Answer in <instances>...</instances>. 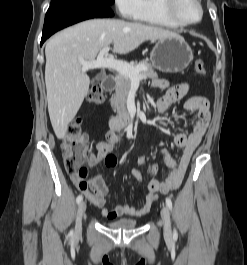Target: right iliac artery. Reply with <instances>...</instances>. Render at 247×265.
Here are the masks:
<instances>
[{
  "mask_svg": "<svg viewBox=\"0 0 247 265\" xmlns=\"http://www.w3.org/2000/svg\"><path fill=\"white\" fill-rule=\"evenodd\" d=\"M83 200V196L79 195L76 199V202L79 204ZM70 235L73 236V231H70Z\"/></svg>",
  "mask_w": 247,
  "mask_h": 265,
  "instance_id": "obj_1",
  "label": "right iliac artery"
}]
</instances>
